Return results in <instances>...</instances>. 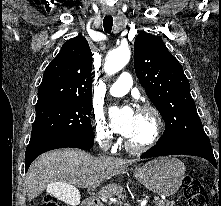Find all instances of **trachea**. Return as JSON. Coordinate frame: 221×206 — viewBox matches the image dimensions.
I'll return each instance as SVG.
<instances>
[{
    "label": "trachea",
    "instance_id": "obj_1",
    "mask_svg": "<svg viewBox=\"0 0 221 206\" xmlns=\"http://www.w3.org/2000/svg\"><path fill=\"white\" fill-rule=\"evenodd\" d=\"M113 26L112 16H105L103 19V27L106 33H110Z\"/></svg>",
    "mask_w": 221,
    "mask_h": 206
}]
</instances>
